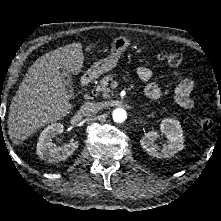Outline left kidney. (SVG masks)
<instances>
[{"mask_svg":"<svg viewBox=\"0 0 221 221\" xmlns=\"http://www.w3.org/2000/svg\"><path fill=\"white\" fill-rule=\"evenodd\" d=\"M161 134H164L168 144L159 148L155 141L159 134L154 131L147 132L140 140L142 148L150 155L159 159L169 158L184 148V137L180 122L175 119L165 118L160 124Z\"/></svg>","mask_w":221,"mask_h":221,"instance_id":"obj_1","label":"left kidney"}]
</instances>
